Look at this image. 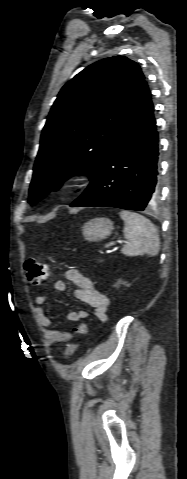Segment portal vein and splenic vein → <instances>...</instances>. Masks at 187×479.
Wrapping results in <instances>:
<instances>
[{
    "instance_id": "obj_1",
    "label": "portal vein and splenic vein",
    "mask_w": 187,
    "mask_h": 479,
    "mask_svg": "<svg viewBox=\"0 0 187 479\" xmlns=\"http://www.w3.org/2000/svg\"><path fill=\"white\" fill-rule=\"evenodd\" d=\"M118 243L121 244L122 241H119ZM115 245H116L115 242H110L108 245H106V252H108L109 249H110L111 247L115 246Z\"/></svg>"
}]
</instances>
